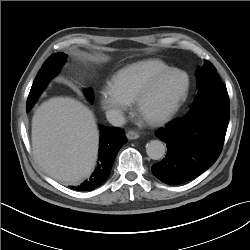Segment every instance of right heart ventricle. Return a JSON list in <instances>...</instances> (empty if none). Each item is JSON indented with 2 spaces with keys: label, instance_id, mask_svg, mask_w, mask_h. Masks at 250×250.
I'll use <instances>...</instances> for the list:
<instances>
[{
  "label": "right heart ventricle",
  "instance_id": "1",
  "mask_svg": "<svg viewBox=\"0 0 250 250\" xmlns=\"http://www.w3.org/2000/svg\"><path fill=\"white\" fill-rule=\"evenodd\" d=\"M171 68L166 62L156 58L139 60L117 70L112 75L111 84L130 100H135L153 77Z\"/></svg>",
  "mask_w": 250,
  "mask_h": 250
}]
</instances>
